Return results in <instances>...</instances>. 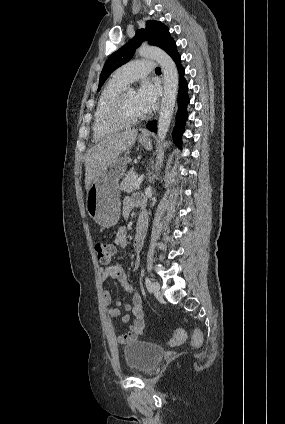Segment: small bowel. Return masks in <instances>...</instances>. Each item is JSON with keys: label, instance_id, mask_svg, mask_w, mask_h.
<instances>
[{"label": "small bowel", "instance_id": "1", "mask_svg": "<svg viewBox=\"0 0 285 424\" xmlns=\"http://www.w3.org/2000/svg\"><path fill=\"white\" fill-rule=\"evenodd\" d=\"M143 205L144 200L139 195L126 197L122 204V214L124 217H128L134 207L142 208ZM141 214L145 213L142 212ZM114 244L116 247L121 249L127 246V233L124 227L118 229L114 239ZM133 246L136 253H140L143 246V239L136 236ZM139 264L140 260L137 258L135 262V270L138 269ZM100 276L101 285L103 287L107 285L110 280L116 279L126 292L132 294L131 302L122 304L121 301H117L114 307H109L112 301L110 292L107 289H104L101 294V302L102 305L107 308L106 315L109 318H115L121 315V306L125 310V314L122 315V321L129 324V329L126 333L119 334L115 337L117 344L125 345L138 339L143 333L145 322L142 298L137 291V288L128 282L127 274L125 273L122 265L119 263L101 268Z\"/></svg>", "mask_w": 285, "mask_h": 424}]
</instances>
